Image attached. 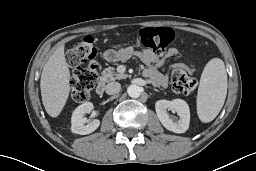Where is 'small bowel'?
Listing matches in <instances>:
<instances>
[{
    "label": "small bowel",
    "instance_id": "obj_1",
    "mask_svg": "<svg viewBox=\"0 0 256 171\" xmlns=\"http://www.w3.org/2000/svg\"><path fill=\"white\" fill-rule=\"evenodd\" d=\"M134 53V49L131 46H127L120 50H107L103 56L107 61H118L128 59ZM136 54L147 65L146 75L151 78L153 83L157 86H165L167 78L158 68L163 65L167 58L179 56L180 52L176 48H170L164 57H158L148 50L139 51Z\"/></svg>",
    "mask_w": 256,
    "mask_h": 171
}]
</instances>
